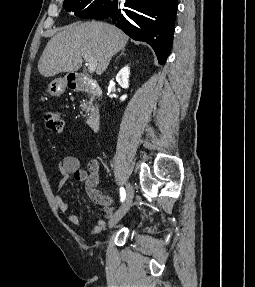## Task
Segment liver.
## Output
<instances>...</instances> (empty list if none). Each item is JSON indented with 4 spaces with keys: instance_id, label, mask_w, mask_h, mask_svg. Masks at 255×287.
<instances>
[{
    "instance_id": "liver-1",
    "label": "liver",
    "mask_w": 255,
    "mask_h": 287,
    "mask_svg": "<svg viewBox=\"0 0 255 287\" xmlns=\"http://www.w3.org/2000/svg\"><path fill=\"white\" fill-rule=\"evenodd\" d=\"M61 30L49 40L39 60L38 70L44 78L61 72H78L84 54L96 58V74L100 76L112 56L123 50L129 40L122 30L103 22H77Z\"/></svg>"
}]
</instances>
